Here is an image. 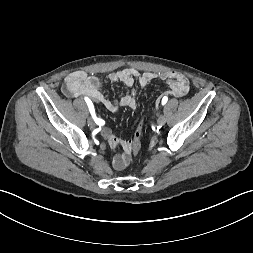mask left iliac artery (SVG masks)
Masks as SVG:
<instances>
[{
	"mask_svg": "<svg viewBox=\"0 0 253 253\" xmlns=\"http://www.w3.org/2000/svg\"><path fill=\"white\" fill-rule=\"evenodd\" d=\"M167 100H168V98L164 97L163 100H162V105H164L167 102Z\"/></svg>",
	"mask_w": 253,
	"mask_h": 253,
	"instance_id": "left-iliac-artery-1",
	"label": "left iliac artery"
}]
</instances>
